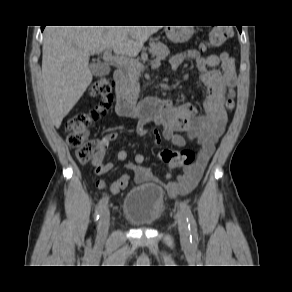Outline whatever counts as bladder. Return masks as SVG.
Listing matches in <instances>:
<instances>
[{
	"instance_id": "1",
	"label": "bladder",
	"mask_w": 292,
	"mask_h": 292,
	"mask_svg": "<svg viewBox=\"0 0 292 292\" xmlns=\"http://www.w3.org/2000/svg\"><path fill=\"white\" fill-rule=\"evenodd\" d=\"M164 208L162 189L157 185L142 184L127 193L122 215L135 227H151L161 218Z\"/></svg>"
}]
</instances>
